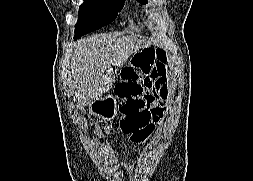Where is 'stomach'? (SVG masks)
<instances>
[{
    "instance_id": "1",
    "label": "stomach",
    "mask_w": 253,
    "mask_h": 181,
    "mask_svg": "<svg viewBox=\"0 0 253 181\" xmlns=\"http://www.w3.org/2000/svg\"><path fill=\"white\" fill-rule=\"evenodd\" d=\"M90 112L99 115L104 120H110L116 113V101L112 96L105 99H97L90 104Z\"/></svg>"
}]
</instances>
